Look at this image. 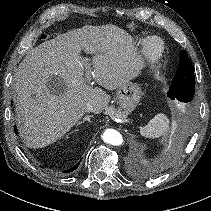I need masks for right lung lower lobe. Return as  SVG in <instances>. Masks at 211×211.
Wrapping results in <instances>:
<instances>
[{
  "instance_id": "right-lung-lower-lobe-1",
  "label": "right lung lower lobe",
  "mask_w": 211,
  "mask_h": 211,
  "mask_svg": "<svg viewBox=\"0 0 211 211\" xmlns=\"http://www.w3.org/2000/svg\"><path fill=\"white\" fill-rule=\"evenodd\" d=\"M14 130L16 131V126H14ZM79 164H80V162H78V163H77L75 166H73L72 168H70V169H68V170H65L64 172H65V173H69V172L74 171L75 169L78 168Z\"/></svg>"
}]
</instances>
